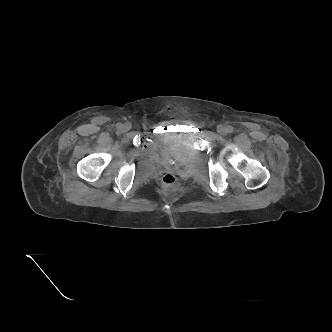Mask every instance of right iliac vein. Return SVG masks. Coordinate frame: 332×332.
Returning <instances> with one entry per match:
<instances>
[{
	"mask_svg": "<svg viewBox=\"0 0 332 332\" xmlns=\"http://www.w3.org/2000/svg\"><path fill=\"white\" fill-rule=\"evenodd\" d=\"M131 129V124L130 123H124V125H122V130L123 131H129Z\"/></svg>",
	"mask_w": 332,
	"mask_h": 332,
	"instance_id": "obj_1",
	"label": "right iliac vein"
}]
</instances>
